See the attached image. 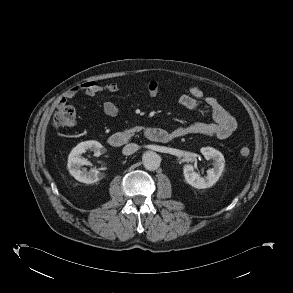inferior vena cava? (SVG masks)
<instances>
[{"mask_svg":"<svg viewBox=\"0 0 293 293\" xmlns=\"http://www.w3.org/2000/svg\"><path fill=\"white\" fill-rule=\"evenodd\" d=\"M139 149V146L135 143H129L124 146L122 153L126 156L133 154Z\"/></svg>","mask_w":293,"mask_h":293,"instance_id":"1","label":"inferior vena cava"}]
</instances>
